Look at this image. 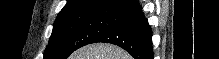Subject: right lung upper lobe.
<instances>
[{"instance_id": "right-lung-upper-lobe-1", "label": "right lung upper lobe", "mask_w": 219, "mask_h": 59, "mask_svg": "<svg viewBox=\"0 0 219 59\" xmlns=\"http://www.w3.org/2000/svg\"><path fill=\"white\" fill-rule=\"evenodd\" d=\"M125 1L126 0H68L57 18L91 10L111 11L115 6Z\"/></svg>"}]
</instances>
